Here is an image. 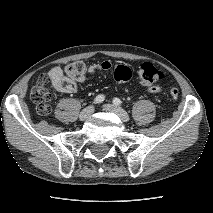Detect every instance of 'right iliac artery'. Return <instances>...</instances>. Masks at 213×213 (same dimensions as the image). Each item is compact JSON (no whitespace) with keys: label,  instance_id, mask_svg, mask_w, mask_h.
I'll use <instances>...</instances> for the list:
<instances>
[{"label":"right iliac artery","instance_id":"right-iliac-artery-1","mask_svg":"<svg viewBox=\"0 0 213 213\" xmlns=\"http://www.w3.org/2000/svg\"><path fill=\"white\" fill-rule=\"evenodd\" d=\"M104 99H105L104 95L100 94L95 97L93 102H94V104H99V103H102L104 101Z\"/></svg>","mask_w":213,"mask_h":213}]
</instances>
